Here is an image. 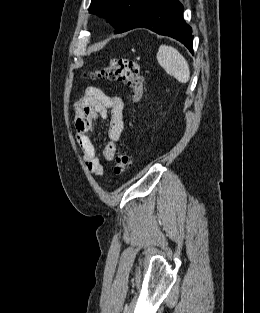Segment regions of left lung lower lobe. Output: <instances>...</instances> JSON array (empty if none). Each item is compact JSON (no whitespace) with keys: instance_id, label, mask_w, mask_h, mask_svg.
<instances>
[{"instance_id":"0a47b994","label":"left lung lower lobe","mask_w":260,"mask_h":313,"mask_svg":"<svg viewBox=\"0 0 260 313\" xmlns=\"http://www.w3.org/2000/svg\"><path fill=\"white\" fill-rule=\"evenodd\" d=\"M183 6L178 0H153L126 28H148L160 35L183 43L193 53L192 29L183 19Z\"/></svg>"}]
</instances>
